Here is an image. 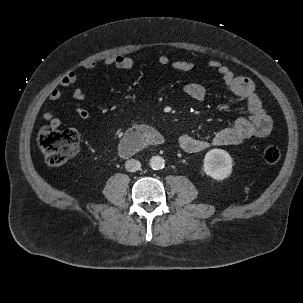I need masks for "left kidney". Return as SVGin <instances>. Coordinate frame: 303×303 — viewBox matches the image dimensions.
I'll return each mask as SVG.
<instances>
[{
    "instance_id": "5707ae66",
    "label": "left kidney",
    "mask_w": 303,
    "mask_h": 303,
    "mask_svg": "<svg viewBox=\"0 0 303 303\" xmlns=\"http://www.w3.org/2000/svg\"><path fill=\"white\" fill-rule=\"evenodd\" d=\"M232 158L222 149L208 151L204 158V172L215 180H223L232 173Z\"/></svg>"
}]
</instances>
